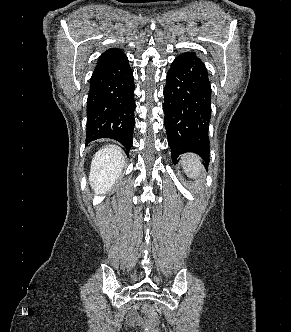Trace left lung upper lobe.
<instances>
[{
	"instance_id": "left-lung-upper-lobe-1",
	"label": "left lung upper lobe",
	"mask_w": 291,
	"mask_h": 332,
	"mask_svg": "<svg viewBox=\"0 0 291 332\" xmlns=\"http://www.w3.org/2000/svg\"><path fill=\"white\" fill-rule=\"evenodd\" d=\"M182 149H183V150H189V147H187V146H183Z\"/></svg>"
}]
</instances>
